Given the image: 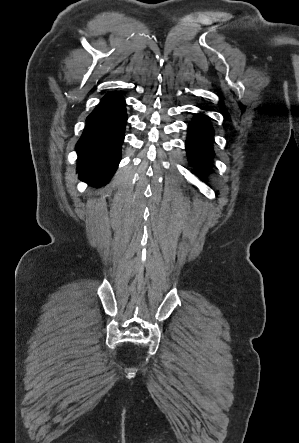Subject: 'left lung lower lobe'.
I'll return each mask as SVG.
<instances>
[{"label":"left lung lower lobe","instance_id":"0a47b994","mask_svg":"<svg viewBox=\"0 0 299 443\" xmlns=\"http://www.w3.org/2000/svg\"><path fill=\"white\" fill-rule=\"evenodd\" d=\"M213 135L208 117L203 114L195 115L188 127L186 151L191 164L202 173L210 168Z\"/></svg>","mask_w":299,"mask_h":443}]
</instances>
